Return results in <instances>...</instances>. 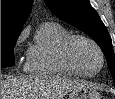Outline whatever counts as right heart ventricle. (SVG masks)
<instances>
[{"instance_id": "1", "label": "right heart ventricle", "mask_w": 115, "mask_h": 99, "mask_svg": "<svg viewBox=\"0 0 115 99\" xmlns=\"http://www.w3.org/2000/svg\"><path fill=\"white\" fill-rule=\"evenodd\" d=\"M71 33L55 22L43 23L36 34L35 43L29 48L25 70L39 76L75 75L64 62L61 48Z\"/></svg>"}]
</instances>
